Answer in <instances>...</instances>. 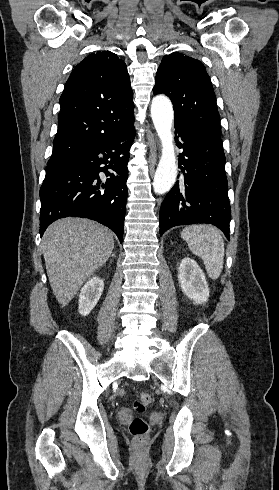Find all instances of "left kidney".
Returning a JSON list of instances; mask_svg holds the SVG:
<instances>
[{"label":"left kidney","instance_id":"1","mask_svg":"<svg viewBox=\"0 0 279 490\" xmlns=\"http://www.w3.org/2000/svg\"><path fill=\"white\" fill-rule=\"evenodd\" d=\"M180 288L194 304H205L209 298V286L197 262L192 258H183L178 268Z\"/></svg>","mask_w":279,"mask_h":490}]
</instances>
